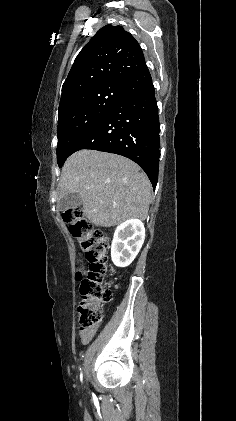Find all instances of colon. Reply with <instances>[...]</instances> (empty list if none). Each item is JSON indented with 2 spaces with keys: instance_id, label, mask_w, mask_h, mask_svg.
Wrapping results in <instances>:
<instances>
[{
  "instance_id": "obj_1",
  "label": "colon",
  "mask_w": 236,
  "mask_h": 421,
  "mask_svg": "<svg viewBox=\"0 0 236 421\" xmlns=\"http://www.w3.org/2000/svg\"><path fill=\"white\" fill-rule=\"evenodd\" d=\"M63 218L89 262L87 269H79L76 273L82 297L78 306V324L80 333H86L99 326L103 319V306L113 297L111 286L115 278L108 264L109 240L85 219L80 208L67 210Z\"/></svg>"
}]
</instances>
